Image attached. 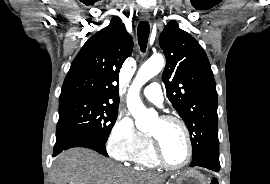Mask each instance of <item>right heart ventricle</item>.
I'll use <instances>...</instances> for the list:
<instances>
[{"label":"right heart ventricle","instance_id":"e07e8e85","mask_svg":"<svg viewBox=\"0 0 270 184\" xmlns=\"http://www.w3.org/2000/svg\"><path fill=\"white\" fill-rule=\"evenodd\" d=\"M135 165L145 168H154L159 166L157 162L150 138L147 136V139L144 145L140 148V150L135 154V156L131 160Z\"/></svg>","mask_w":270,"mask_h":184}]
</instances>
